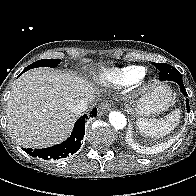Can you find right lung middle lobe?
Here are the masks:
<instances>
[{"label":"right lung middle lobe","mask_w":196,"mask_h":196,"mask_svg":"<svg viewBox=\"0 0 196 196\" xmlns=\"http://www.w3.org/2000/svg\"><path fill=\"white\" fill-rule=\"evenodd\" d=\"M59 63H60L59 59H42V60H38V61L32 63L31 65L27 66L24 69V71H27L29 69L36 68V67H42V66L53 68V67H56Z\"/></svg>","instance_id":"right-lung-middle-lobe-1"}]
</instances>
